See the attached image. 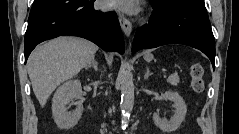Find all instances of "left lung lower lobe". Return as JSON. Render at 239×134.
<instances>
[{
    "mask_svg": "<svg viewBox=\"0 0 239 134\" xmlns=\"http://www.w3.org/2000/svg\"><path fill=\"white\" fill-rule=\"evenodd\" d=\"M151 4L153 15L148 24L137 30L132 52L165 44H184L206 54L215 69V39L204 0H171L163 6Z\"/></svg>",
    "mask_w": 239,
    "mask_h": 134,
    "instance_id": "left-lung-lower-lobe-1",
    "label": "left lung lower lobe"
}]
</instances>
